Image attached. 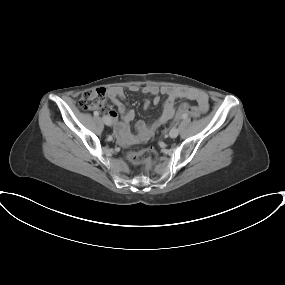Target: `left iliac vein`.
I'll return each instance as SVG.
<instances>
[{"mask_svg": "<svg viewBox=\"0 0 285 285\" xmlns=\"http://www.w3.org/2000/svg\"><path fill=\"white\" fill-rule=\"evenodd\" d=\"M179 134V130L176 127H173L170 131H169V136L171 138H176Z\"/></svg>", "mask_w": 285, "mask_h": 285, "instance_id": "1", "label": "left iliac vein"}]
</instances>
